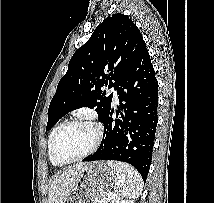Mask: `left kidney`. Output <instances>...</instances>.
<instances>
[{
    "label": "left kidney",
    "instance_id": "1",
    "mask_svg": "<svg viewBox=\"0 0 214 203\" xmlns=\"http://www.w3.org/2000/svg\"><path fill=\"white\" fill-rule=\"evenodd\" d=\"M118 203H134V202L129 201V200H122V201H119Z\"/></svg>",
    "mask_w": 214,
    "mask_h": 203
}]
</instances>
